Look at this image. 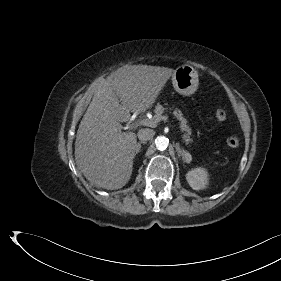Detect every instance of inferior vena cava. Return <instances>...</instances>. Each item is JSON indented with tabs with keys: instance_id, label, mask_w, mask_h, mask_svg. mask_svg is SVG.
Returning a JSON list of instances; mask_svg holds the SVG:
<instances>
[{
	"instance_id": "602c4592",
	"label": "inferior vena cava",
	"mask_w": 281,
	"mask_h": 281,
	"mask_svg": "<svg viewBox=\"0 0 281 281\" xmlns=\"http://www.w3.org/2000/svg\"><path fill=\"white\" fill-rule=\"evenodd\" d=\"M137 135H138L139 140L145 142V141L151 140L154 137L155 132L152 129L144 128V129L139 130Z\"/></svg>"
}]
</instances>
